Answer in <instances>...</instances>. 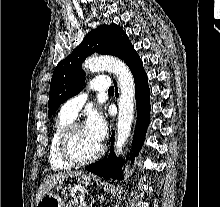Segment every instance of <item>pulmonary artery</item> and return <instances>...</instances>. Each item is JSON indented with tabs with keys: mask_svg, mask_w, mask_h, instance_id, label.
Instances as JSON below:
<instances>
[{
	"mask_svg": "<svg viewBox=\"0 0 220 207\" xmlns=\"http://www.w3.org/2000/svg\"><path fill=\"white\" fill-rule=\"evenodd\" d=\"M110 79L107 76H98L90 81L88 88L85 92H82L69 100H67L60 109V113L71 119H74L79 110L83 107L88 99L90 91H105L110 88Z\"/></svg>",
	"mask_w": 220,
	"mask_h": 207,
	"instance_id": "1",
	"label": "pulmonary artery"
}]
</instances>
